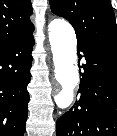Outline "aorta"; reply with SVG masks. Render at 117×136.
<instances>
[{
  "instance_id": "obj_1",
  "label": "aorta",
  "mask_w": 117,
  "mask_h": 136,
  "mask_svg": "<svg viewBox=\"0 0 117 136\" xmlns=\"http://www.w3.org/2000/svg\"><path fill=\"white\" fill-rule=\"evenodd\" d=\"M48 30L55 79L60 84L55 99L60 107H65L71 103L74 89L79 81L77 40L73 27L63 19L51 21Z\"/></svg>"
}]
</instances>
